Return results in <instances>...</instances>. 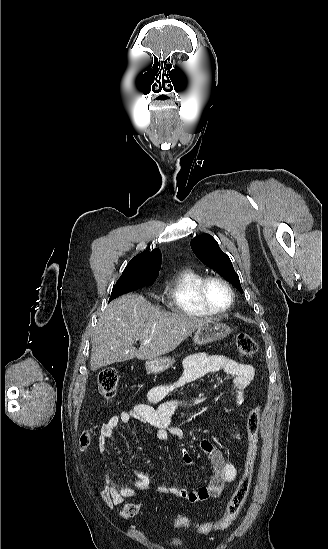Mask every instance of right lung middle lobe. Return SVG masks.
Instances as JSON below:
<instances>
[{"instance_id": "obj_1", "label": "right lung middle lobe", "mask_w": 328, "mask_h": 549, "mask_svg": "<svg viewBox=\"0 0 328 549\" xmlns=\"http://www.w3.org/2000/svg\"><path fill=\"white\" fill-rule=\"evenodd\" d=\"M159 269V266L148 265L123 272L122 276L112 289L109 302L114 298L132 290L152 284L158 276Z\"/></svg>"}]
</instances>
